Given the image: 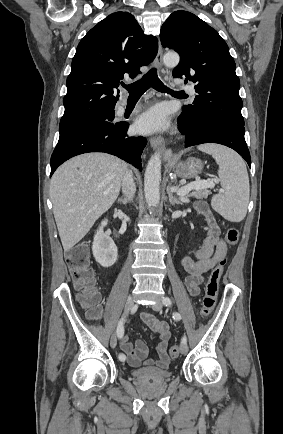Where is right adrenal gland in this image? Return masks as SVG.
Here are the masks:
<instances>
[{"label": "right adrenal gland", "instance_id": "obj_1", "mask_svg": "<svg viewBox=\"0 0 283 434\" xmlns=\"http://www.w3.org/2000/svg\"><path fill=\"white\" fill-rule=\"evenodd\" d=\"M118 202L123 204V205H127L128 201L125 198H119Z\"/></svg>", "mask_w": 283, "mask_h": 434}]
</instances>
